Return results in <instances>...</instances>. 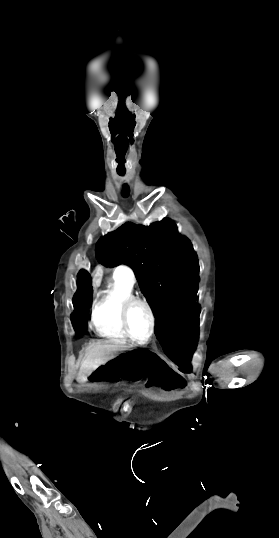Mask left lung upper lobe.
Instances as JSON below:
<instances>
[{
    "label": "left lung upper lobe",
    "instance_id": "5c2ea615",
    "mask_svg": "<svg viewBox=\"0 0 279 538\" xmlns=\"http://www.w3.org/2000/svg\"><path fill=\"white\" fill-rule=\"evenodd\" d=\"M96 258L106 266L126 264L134 270L156 317L155 332L198 327V259L174 222L125 223L97 242Z\"/></svg>",
    "mask_w": 279,
    "mask_h": 538
}]
</instances>
